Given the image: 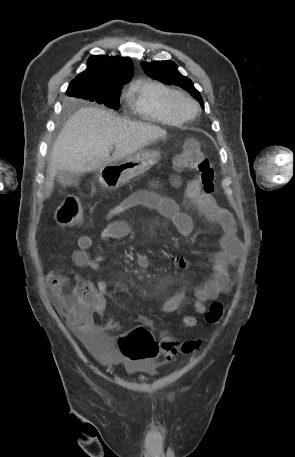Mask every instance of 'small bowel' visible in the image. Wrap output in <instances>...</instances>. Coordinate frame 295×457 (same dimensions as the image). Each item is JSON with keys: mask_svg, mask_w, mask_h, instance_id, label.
I'll list each match as a JSON object with an SVG mask.
<instances>
[{"mask_svg": "<svg viewBox=\"0 0 295 457\" xmlns=\"http://www.w3.org/2000/svg\"><path fill=\"white\" fill-rule=\"evenodd\" d=\"M185 197L194 203L199 215L209 223L219 226L221 229L219 238L220 250L210 256L212 262L211 278L195 291L193 309L195 314L201 315L206 312V302L217 299L231 288L228 267L236 259L241 248V243L231 213L222 208L212 195L204 193L202 185L198 180H191L187 183ZM135 206H144L158 211L162 216L170 219L178 232L185 238H188L193 230L191 216L182 212L175 201L158 193L154 188H148L133 193L109 210L106 215L107 223L100 232V238L102 240H108L127 237L131 233L129 224L124 220H116L114 218ZM77 243L78 248L72 254L74 264L82 268L99 270L104 257L97 256L93 259L90 258L88 250L92 246V238L88 235H82L78 238ZM136 261L141 267H147L149 265L148 257L142 253L137 254ZM171 262L179 268H185L187 266L186 260L180 257L172 258ZM49 285L55 293L56 282L54 275L49 276ZM108 289L109 284L103 278L96 285H89V315L85 318H72L68 316L69 325L80 338H104L103 330L93 322L91 312L99 315L104 314L106 307L105 293ZM185 297L186 295L183 290L177 292L162 303L161 311L164 313L175 312L180 308ZM139 321L142 324L151 326L150 321L144 317H140ZM182 323L184 327L192 328L197 325L198 320L195 315H185ZM116 357L119 358L117 354Z\"/></svg>", "mask_w": 295, "mask_h": 457, "instance_id": "1", "label": "small bowel"}]
</instances>
